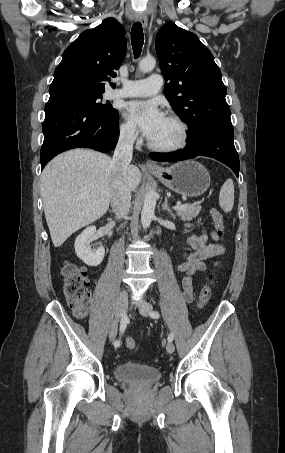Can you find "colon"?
I'll return each instance as SVG.
<instances>
[{"instance_id":"colon-1","label":"colon","mask_w":285,"mask_h":453,"mask_svg":"<svg viewBox=\"0 0 285 453\" xmlns=\"http://www.w3.org/2000/svg\"><path fill=\"white\" fill-rule=\"evenodd\" d=\"M211 216L219 236L224 231V220L222 213L213 208ZM63 276V294L67 304L78 317H84L90 306L91 294L89 292V278L86 269L77 263L66 261L61 267ZM213 275H209L207 282L201 288L198 295V307L203 308L207 305L211 297V283ZM126 346L130 350H135L137 344L133 338H127Z\"/></svg>"}]
</instances>
